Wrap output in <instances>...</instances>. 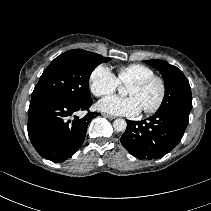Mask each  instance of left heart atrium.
Instances as JSON below:
<instances>
[{"label":"left heart atrium","mask_w":211,"mask_h":211,"mask_svg":"<svg viewBox=\"0 0 211 211\" xmlns=\"http://www.w3.org/2000/svg\"><path fill=\"white\" fill-rule=\"evenodd\" d=\"M101 111L123 116H135L141 112L142 108L135 97L111 96L101 100L97 104Z\"/></svg>","instance_id":"1"}]
</instances>
